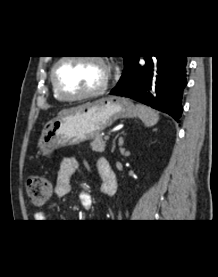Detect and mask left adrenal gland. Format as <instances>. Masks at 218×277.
<instances>
[{"label":"left adrenal gland","instance_id":"left-adrenal-gland-1","mask_svg":"<svg viewBox=\"0 0 218 277\" xmlns=\"http://www.w3.org/2000/svg\"><path fill=\"white\" fill-rule=\"evenodd\" d=\"M119 140H120V146H122V145H123V140H122V138H120ZM115 141H116V139L113 141L112 152H114L115 147H116Z\"/></svg>","mask_w":218,"mask_h":277}]
</instances>
